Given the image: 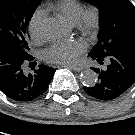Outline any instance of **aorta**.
<instances>
[{
    "mask_svg": "<svg viewBox=\"0 0 135 135\" xmlns=\"http://www.w3.org/2000/svg\"><path fill=\"white\" fill-rule=\"evenodd\" d=\"M40 32L46 40L56 41L63 35V25L56 18H47L41 23ZM97 80V73L91 69L84 70L80 75V81L88 87L94 86Z\"/></svg>",
    "mask_w": 135,
    "mask_h": 135,
    "instance_id": "obj_1",
    "label": "aorta"
}]
</instances>
